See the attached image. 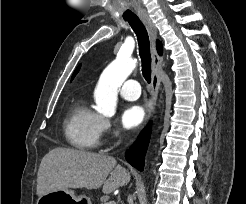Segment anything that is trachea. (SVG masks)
<instances>
[{
	"instance_id": "3493384b",
	"label": "trachea",
	"mask_w": 246,
	"mask_h": 204,
	"mask_svg": "<svg viewBox=\"0 0 246 204\" xmlns=\"http://www.w3.org/2000/svg\"><path fill=\"white\" fill-rule=\"evenodd\" d=\"M128 23L135 32L138 44L139 54L142 61V74L145 80L151 82V54H150V42L147 30L144 24L138 17L127 19Z\"/></svg>"
}]
</instances>
